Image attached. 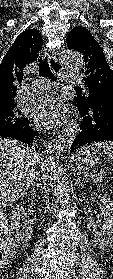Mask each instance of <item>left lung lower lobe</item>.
I'll list each match as a JSON object with an SVG mask.
<instances>
[{"label":"left lung lower lobe","mask_w":113,"mask_h":279,"mask_svg":"<svg viewBox=\"0 0 113 279\" xmlns=\"http://www.w3.org/2000/svg\"><path fill=\"white\" fill-rule=\"evenodd\" d=\"M87 102V99H74V105L80 111L81 132L74 139L72 150L94 142L113 141V99H96L93 105H87Z\"/></svg>","instance_id":"0a47b994"}]
</instances>
